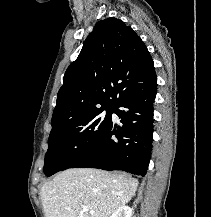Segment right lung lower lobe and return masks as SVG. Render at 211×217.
<instances>
[{"mask_svg":"<svg viewBox=\"0 0 211 217\" xmlns=\"http://www.w3.org/2000/svg\"><path fill=\"white\" fill-rule=\"evenodd\" d=\"M156 87L155 73L145 82L133 86L113 108L122 126L111 122L101 141L70 168L122 170L145 176L152 148Z\"/></svg>","mask_w":211,"mask_h":217,"instance_id":"right-lung-lower-lobe-1","label":"right lung lower lobe"}]
</instances>
